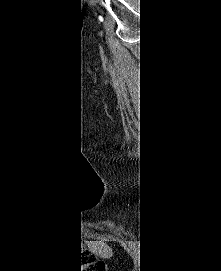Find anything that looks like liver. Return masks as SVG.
Instances as JSON below:
<instances>
[{
  "label": "liver",
  "instance_id": "1",
  "mask_svg": "<svg viewBox=\"0 0 221 271\" xmlns=\"http://www.w3.org/2000/svg\"><path fill=\"white\" fill-rule=\"evenodd\" d=\"M92 247L98 251L101 257H112L113 255V249L107 243H101V245L100 243H93Z\"/></svg>",
  "mask_w": 221,
  "mask_h": 271
}]
</instances>
